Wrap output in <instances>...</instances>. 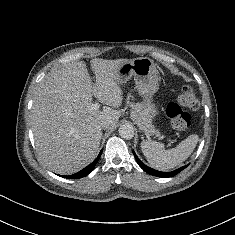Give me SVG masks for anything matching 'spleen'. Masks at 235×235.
<instances>
[{
	"instance_id": "1",
	"label": "spleen",
	"mask_w": 235,
	"mask_h": 235,
	"mask_svg": "<svg viewBox=\"0 0 235 235\" xmlns=\"http://www.w3.org/2000/svg\"><path fill=\"white\" fill-rule=\"evenodd\" d=\"M199 140L192 134L180 142L175 148L165 150L164 144L151 140H143L141 149L148 163L155 169L166 171L185 161L194 151Z\"/></svg>"
}]
</instances>
